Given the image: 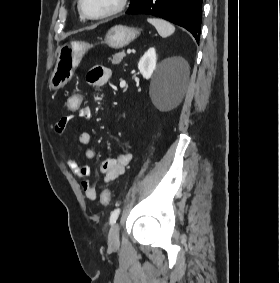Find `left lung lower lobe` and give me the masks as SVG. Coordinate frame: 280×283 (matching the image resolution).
<instances>
[{"label": "left lung lower lobe", "mask_w": 280, "mask_h": 283, "mask_svg": "<svg viewBox=\"0 0 280 283\" xmlns=\"http://www.w3.org/2000/svg\"><path fill=\"white\" fill-rule=\"evenodd\" d=\"M203 0H137L127 14H150L187 29L199 41Z\"/></svg>", "instance_id": "obj_1"}]
</instances>
